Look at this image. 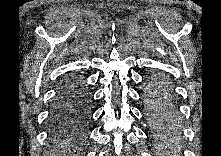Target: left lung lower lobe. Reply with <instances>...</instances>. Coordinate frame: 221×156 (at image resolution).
I'll return each instance as SVG.
<instances>
[{"mask_svg": "<svg viewBox=\"0 0 221 156\" xmlns=\"http://www.w3.org/2000/svg\"><path fill=\"white\" fill-rule=\"evenodd\" d=\"M143 101L151 134L168 137L180 131L178 99L166 76L153 73L146 77Z\"/></svg>", "mask_w": 221, "mask_h": 156, "instance_id": "0a47b994", "label": "left lung lower lobe"}]
</instances>
